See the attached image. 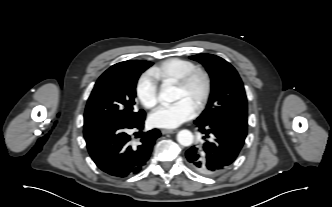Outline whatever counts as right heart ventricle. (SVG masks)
<instances>
[{
  "label": "right heart ventricle",
  "mask_w": 332,
  "mask_h": 207,
  "mask_svg": "<svg viewBox=\"0 0 332 207\" xmlns=\"http://www.w3.org/2000/svg\"><path fill=\"white\" fill-rule=\"evenodd\" d=\"M196 67L195 63L182 58H169L151 69L150 73L159 81L176 82Z\"/></svg>",
  "instance_id": "obj_1"
}]
</instances>
